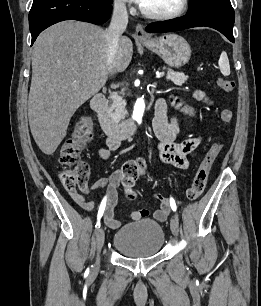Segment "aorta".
<instances>
[{"mask_svg":"<svg viewBox=\"0 0 261 306\" xmlns=\"http://www.w3.org/2000/svg\"><path fill=\"white\" fill-rule=\"evenodd\" d=\"M145 110V103L143 99H138L135 102L132 118L137 122H141Z\"/></svg>","mask_w":261,"mask_h":306,"instance_id":"1","label":"aorta"}]
</instances>
